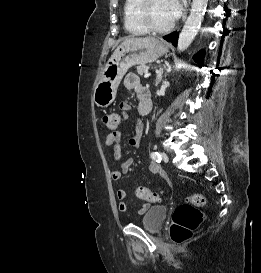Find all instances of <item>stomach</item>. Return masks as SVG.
Wrapping results in <instances>:
<instances>
[{"mask_svg":"<svg viewBox=\"0 0 261 273\" xmlns=\"http://www.w3.org/2000/svg\"><path fill=\"white\" fill-rule=\"evenodd\" d=\"M168 52V45L156 38H137L119 45L107 61L101 79L94 87L93 100L98 107H108L130 67L154 62Z\"/></svg>","mask_w":261,"mask_h":273,"instance_id":"0dacf381","label":"stomach"}]
</instances>
